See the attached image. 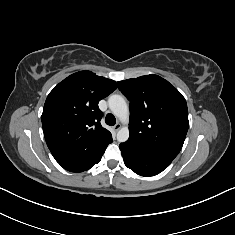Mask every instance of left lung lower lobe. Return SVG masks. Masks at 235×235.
I'll return each mask as SVG.
<instances>
[{
    "label": "left lung lower lobe",
    "mask_w": 235,
    "mask_h": 235,
    "mask_svg": "<svg viewBox=\"0 0 235 235\" xmlns=\"http://www.w3.org/2000/svg\"><path fill=\"white\" fill-rule=\"evenodd\" d=\"M125 165L141 176H154L166 169L171 160L135 147L128 142L119 146Z\"/></svg>",
    "instance_id": "0a47b994"
}]
</instances>
